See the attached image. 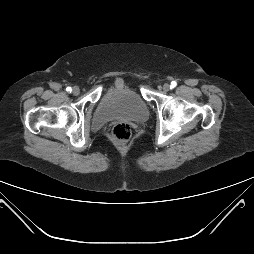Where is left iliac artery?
<instances>
[{"mask_svg":"<svg viewBox=\"0 0 254 254\" xmlns=\"http://www.w3.org/2000/svg\"><path fill=\"white\" fill-rule=\"evenodd\" d=\"M177 83L175 81L171 82L170 89L176 87Z\"/></svg>","mask_w":254,"mask_h":254,"instance_id":"left-iliac-artery-1","label":"left iliac artery"}]
</instances>
